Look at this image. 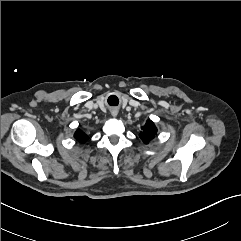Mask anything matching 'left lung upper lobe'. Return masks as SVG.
<instances>
[{
	"label": "left lung upper lobe",
	"instance_id": "left-lung-upper-lobe-1",
	"mask_svg": "<svg viewBox=\"0 0 241 241\" xmlns=\"http://www.w3.org/2000/svg\"><path fill=\"white\" fill-rule=\"evenodd\" d=\"M157 132V128L155 127V124L148 120L146 124L142 127V132L140 133V138L143 140V142L148 143L150 140L153 139Z\"/></svg>",
	"mask_w": 241,
	"mask_h": 241
}]
</instances>
